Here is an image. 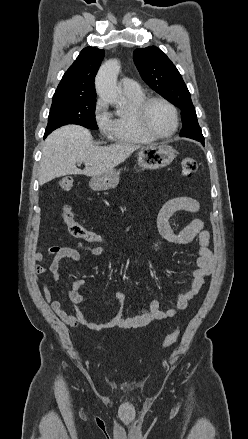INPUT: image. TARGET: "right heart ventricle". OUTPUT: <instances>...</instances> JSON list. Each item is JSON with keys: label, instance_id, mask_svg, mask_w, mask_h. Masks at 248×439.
Returning a JSON list of instances; mask_svg holds the SVG:
<instances>
[{"label": "right heart ventricle", "instance_id": "e07e8e85", "mask_svg": "<svg viewBox=\"0 0 248 439\" xmlns=\"http://www.w3.org/2000/svg\"><path fill=\"white\" fill-rule=\"evenodd\" d=\"M128 102L125 112H118L112 120L111 137L119 143L147 144L154 138L146 134L139 126L136 119V108L145 98L144 92L124 93Z\"/></svg>", "mask_w": 248, "mask_h": 439}]
</instances>
